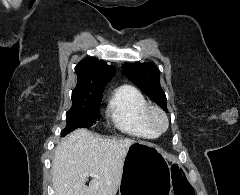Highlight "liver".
I'll return each mask as SVG.
<instances>
[{
	"label": "liver",
	"instance_id": "liver-1",
	"mask_svg": "<svg viewBox=\"0 0 240 195\" xmlns=\"http://www.w3.org/2000/svg\"><path fill=\"white\" fill-rule=\"evenodd\" d=\"M133 141L130 137L108 139L85 127L62 137L51 167L55 195H116ZM90 173L97 177L85 185Z\"/></svg>",
	"mask_w": 240,
	"mask_h": 195
}]
</instances>
